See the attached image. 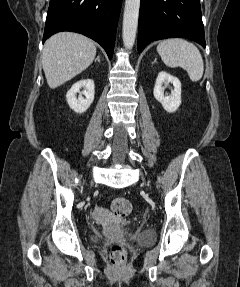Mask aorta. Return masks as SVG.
<instances>
[{
  "label": "aorta",
  "instance_id": "1",
  "mask_svg": "<svg viewBox=\"0 0 240 287\" xmlns=\"http://www.w3.org/2000/svg\"><path fill=\"white\" fill-rule=\"evenodd\" d=\"M140 0H125L122 38L125 48L132 49L137 33Z\"/></svg>",
  "mask_w": 240,
  "mask_h": 287
}]
</instances>
